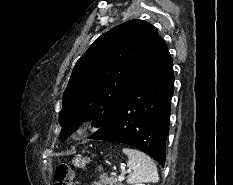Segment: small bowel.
I'll return each instance as SVG.
<instances>
[{
	"instance_id": "small-bowel-1",
	"label": "small bowel",
	"mask_w": 233,
	"mask_h": 185,
	"mask_svg": "<svg viewBox=\"0 0 233 185\" xmlns=\"http://www.w3.org/2000/svg\"><path fill=\"white\" fill-rule=\"evenodd\" d=\"M91 185H104V184H102L100 182H93Z\"/></svg>"
}]
</instances>
